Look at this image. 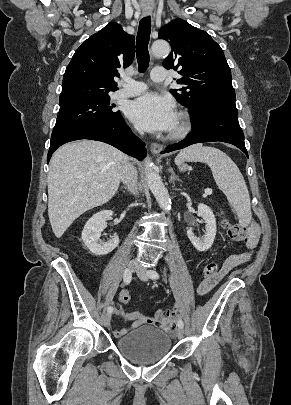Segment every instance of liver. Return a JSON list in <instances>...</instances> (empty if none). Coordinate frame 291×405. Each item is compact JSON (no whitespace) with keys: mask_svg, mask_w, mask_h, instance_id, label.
I'll return each instance as SVG.
<instances>
[{"mask_svg":"<svg viewBox=\"0 0 291 405\" xmlns=\"http://www.w3.org/2000/svg\"><path fill=\"white\" fill-rule=\"evenodd\" d=\"M125 155L99 141L61 146L50 160L48 216L57 238L84 212L107 203L116 193Z\"/></svg>","mask_w":291,"mask_h":405,"instance_id":"6515ba94","label":"liver"}]
</instances>
